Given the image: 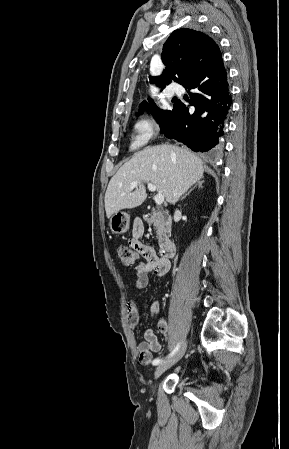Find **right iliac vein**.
<instances>
[{
    "label": "right iliac vein",
    "mask_w": 289,
    "mask_h": 449,
    "mask_svg": "<svg viewBox=\"0 0 289 449\" xmlns=\"http://www.w3.org/2000/svg\"><path fill=\"white\" fill-rule=\"evenodd\" d=\"M186 347H187V344L185 343L182 346V348L176 353V355H174L172 358H170L168 360L161 362L157 366V368L155 370V374H154L155 379L160 377V375H162L167 369H169L171 366H173L175 363H177L183 357V355L186 351Z\"/></svg>",
    "instance_id": "63e3f726"
}]
</instances>
